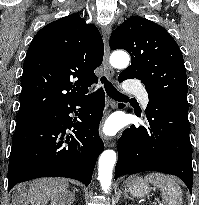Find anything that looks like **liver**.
Wrapping results in <instances>:
<instances>
[{
	"mask_svg": "<svg viewBox=\"0 0 199 205\" xmlns=\"http://www.w3.org/2000/svg\"><path fill=\"white\" fill-rule=\"evenodd\" d=\"M69 183L60 178H42L30 183L26 194H22L21 186L17 187L16 197L21 203L27 201L31 205H71L74 196L68 191ZM20 194V195H19Z\"/></svg>",
	"mask_w": 199,
	"mask_h": 205,
	"instance_id": "1",
	"label": "liver"
}]
</instances>
